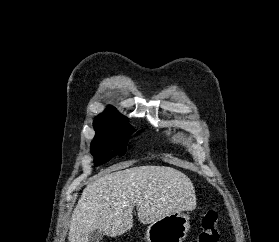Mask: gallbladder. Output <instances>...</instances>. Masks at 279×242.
<instances>
[{
    "label": "gallbladder",
    "instance_id": "bac80fb5",
    "mask_svg": "<svg viewBox=\"0 0 279 242\" xmlns=\"http://www.w3.org/2000/svg\"><path fill=\"white\" fill-rule=\"evenodd\" d=\"M103 232H101L100 230L96 229L93 230L90 234H89V241L88 242H100L103 239Z\"/></svg>",
    "mask_w": 279,
    "mask_h": 242
}]
</instances>
